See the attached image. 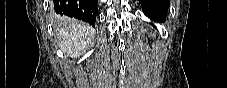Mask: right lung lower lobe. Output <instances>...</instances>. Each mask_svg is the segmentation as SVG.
<instances>
[{"instance_id": "right-lung-lower-lobe-1", "label": "right lung lower lobe", "mask_w": 227, "mask_h": 88, "mask_svg": "<svg viewBox=\"0 0 227 88\" xmlns=\"http://www.w3.org/2000/svg\"><path fill=\"white\" fill-rule=\"evenodd\" d=\"M98 0H53L56 13L88 22L95 27Z\"/></svg>"}]
</instances>
